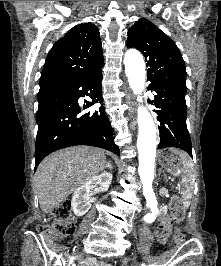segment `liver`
<instances>
[{"label":"liver","mask_w":221,"mask_h":266,"mask_svg":"<svg viewBox=\"0 0 221 266\" xmlns=\"http://www.w3.org/2000/svg\"><path fill=\"white\" fill-rule=\"evenodd\" d=\"M107 166L104 150L76 146L48 155L35 173L40 208L51 213L79 186L97 176Z\"/></svg>","instance_id":"6515ba94"}]
</instances>
